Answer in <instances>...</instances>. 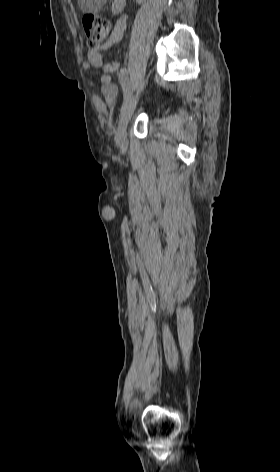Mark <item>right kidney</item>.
I'll list each match as a JSON object with an SVG mask.
<instances>
[{
  "instance_id": "ca27d5eb",
  "label": "right kidney",
  "mask_w": 280,
  "mask_h": 472,
  "mask_svg": "<svg viewBox=\"0 0 280 472\" xmlns=\"http://www.w3.org/2000/svg\"><path fill=\"white\" fill-rule=\"evenodd\" d=\"M136 1H137L138 3H140V2H141V0H136Z\"/></svg>"
}]
</instances>
